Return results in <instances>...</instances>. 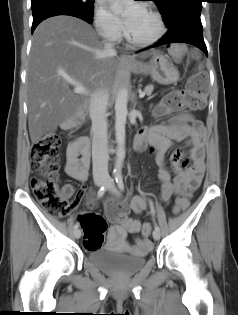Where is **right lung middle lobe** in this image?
I'll return each instance as SVG.
<instances>
[{
    "label": "right lung middle lobe",
    "mask_w": 238,
    "mask_h": 315,
    "mask_svg": "<svg viewBox=\"0 0 238 315\" xmlns=\"http://www.w3.org/2000/svg\"><path fill=\"white\" fill-rule=\"evenodd\" d=\"M46 2H59L68 5H72L78 8L83 9L84 11L93 12L94 0H31V6L39 3Z\"/></svg>",
    "instance_id": "obj_1"
}]
</instances>
